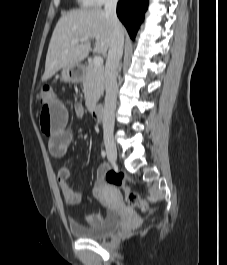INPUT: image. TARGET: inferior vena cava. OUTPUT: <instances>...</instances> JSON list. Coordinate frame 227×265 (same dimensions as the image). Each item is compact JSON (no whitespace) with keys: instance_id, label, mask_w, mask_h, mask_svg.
I'll use <instances>...</instances> for the list:
<instances>
[{"instance_id":"602c4592","label":"inferior vena cava","mask_w":227,"mask_h":265,"mask_svg":"<svg viewBox=\"0 0 227 265\" xmlns=\"http://www.w3.org/2000/svg\"><path fill=\"white\" fill-rule=\"evenodd\" d=\"M118 0H105L104 12L109 17L112 26L111 44L105 66V107L103 115L104 132L112 133L117 101V68L123 54L124 35L122 25L117 18Z\"/></svg>"}]
</instances>
